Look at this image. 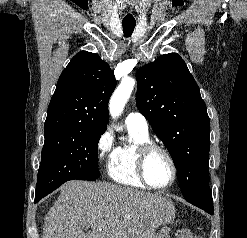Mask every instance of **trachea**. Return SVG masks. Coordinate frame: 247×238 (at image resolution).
Masks as SVG:
<instances>
[{
	"instance_id": "trachea-1",
	"label": "trachea",
	"mask_w": 247,
	"mask_h": 238,
	"mask_svg": "<svg viewBox=\"0 0 247 238\" xmlns=\"http://www.w3.org/2000/svg\"><path fill=\"white\" fill-rule=\"evenodd\" d=\"M123 32L125 37H130L136 26L135 21H122Z\"/></svg>"
}]
</instances>
